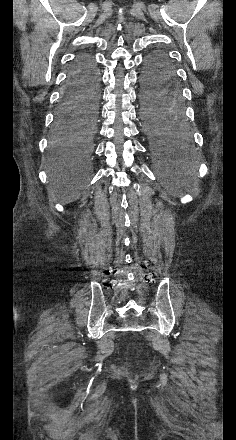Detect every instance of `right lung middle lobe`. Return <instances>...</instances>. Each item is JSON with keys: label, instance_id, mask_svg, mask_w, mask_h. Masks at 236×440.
<instances>
[{"label": "right lung middle lobe", "instance_id": "dd1d6c3e", "mask_svg": "<svg viewBox=\"0 0 236 440\" xmlns=\"http://www.w3.org/2000/svg\"><path fill=\"white\" fill-rule=\"evenodd\" d=\"M85 104L81 109V120L70 130H55L49 144V154L58 163L85 159L90 153V144L95 131V117L99 100V83L89 82L81 89Z\"/></svg>", "mask_w": 236, "mask_h": 440}]
</instances>
